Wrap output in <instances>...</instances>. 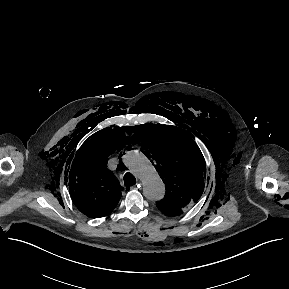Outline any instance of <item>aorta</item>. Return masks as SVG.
Wrapping results in <instances>:
<instances>
[{"label": "aorta", "mask_w": 289, "mask_h": 289, "mask_svg": "<svg viewBox=\"0 0 289 289\" xmlns=\"http://www.w3.org/2000/svg\"><path fill=\"white\" fill-rule=\"evenodd\" d=\"M123 162L142 181L143 194L148 200L159 201L164 197L165 185L141 151H128L123 157Z\"/></svg>", "instance_id": "762f6f07"}]
</instances>
